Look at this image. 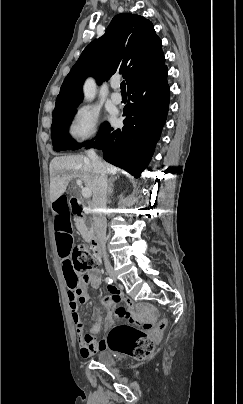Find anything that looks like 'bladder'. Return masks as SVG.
Segmentation results:
<instances>
[{"label":"bladder","mask_w":243,"mask_h":404,"mask_svg":"<svg viewBox=\"0 0 243 404\" xmlns=\"http://www.w3.org/2000/svg\"><path fill=\"white\" fill-rule=\"evenodd\" d=\"M96 360L99 364L105 367H112L115 365V359L113 354L105 349L97 353Z\"/></svg>","instance_id":"bladder-1"}]
</instances>
